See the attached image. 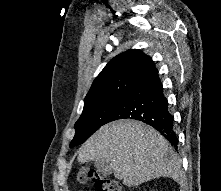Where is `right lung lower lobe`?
<instances>
[{
  "mask_svg": "<svg viewBox=\"0 0 221 191\" xmlns=\"http://www.w3.org/2000/svg\"><path fill=\"white\" fill-rule=\"evenodd\" d=\"M118 119H135L154 127L177 149L174 119L164 97L158 72L132 88L121 99L106 123Z\"/></svg>",
  "mask_w": 221,
  "mask_h": 191,
  "instance_id": "1",
  "label": "right lung lower lobe"
}]
</instances>
